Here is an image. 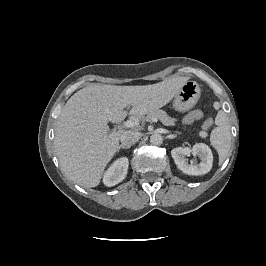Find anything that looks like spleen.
<instances>
[{
	"label": "spleen",
	"mask_w": 266,
	"mask_h": 266,
	"mask_svg": "<svg viewBox=\"0 0 266 266\" xmlns=\"http://www.w3.org/2000/svg\"><path fill=\"white\" fill-rule=\"evenodd\" d=\"M215 127L210 136V142L219 155V164H222L228 156L231 147L230 125L227 115L219 111L215 118Z\"/></svg>",
	"instance_id": "3e777b00"
}]
</instances>
